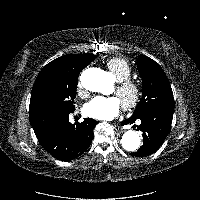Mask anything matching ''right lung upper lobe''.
<instances>
[{"label": "right lung upper lobe", "instance_id": "right-lung-upper-lobe-1", "mask_svg": "<svg viewBox=\"0 0 200 200\" xmlns=\"http://www.w3.org/2000/svg\"><path fill=\"white\" fill-rule=\"evenodd\" d=\"M95 58L93 54H70L59 57L42 68L36 82L44 80H59L79 76L88 64Z\"/></svg>", "mask_w": 200, "mask_h": 200}]
</instances>
